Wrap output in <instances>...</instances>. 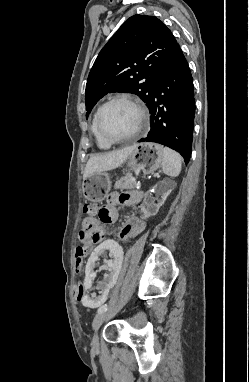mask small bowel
<instances>
[{
	"label": "small bowel",
	"mask_w": 249,
	"mask_h": 382,
	"mask_svg": "<svg viewBox=\"0 0 249 382\" xmlns=\"http://www.w3.org/2000/svg\"><path fill=\"white\" fill-rule=\"evenodd\" d=\"M140 201L139 194L131 193H111L108 196L107 204L102 207L105 212L103 216L98 219L84 218L82 221V227L78 233V240L82 243L81 247H78L76 252L83 249L85 253L87 250L95 249V242L100 241L103 232L99 226L100 222L111 223L118 217V206H134ZM145 227L144 220L137 215H131L126 219L125 224L121 228L119 235L123 239H129L138 235ZM98 250V249H97ZM77 302L80 300L77 299Z\"/></svg>",
	"instance_id": "1"
}]
</instances>
